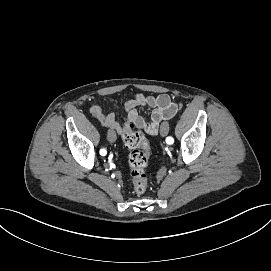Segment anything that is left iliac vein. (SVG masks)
<instances>
[{
    "label": "left iliac vein",
    "mask_w": 271,
    "mask_h": 271,
    "mask_svg": "<svg viewBox=\"0 0 271 271\" xmlns=\"http://www.w3.org/2000/svg\"><path fill=\"white\" fill-rule=\"evenodd\" d=\"M168 131H169V126H168V124H167V123H163V124L161 125V128H160V134H161L162 136H166V135L168 134Z\"/></svg>",
    "instance_id": "left-iliac-vein-1"
}]
</instances>
